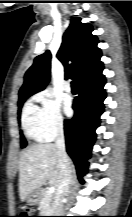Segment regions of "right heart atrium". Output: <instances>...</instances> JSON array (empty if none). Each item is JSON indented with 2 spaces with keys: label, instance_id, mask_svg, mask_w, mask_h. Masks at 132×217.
Instances as JSON below:
<instances>
[{
  "label": "right heart atrium",
  "instance_id": "d8ad5b80",
  "mask_svg": "<svg viewBox=\"0 0 132 217\" xmlns=\"http://www.w3.org/2000/svg\"><path fill=\"white\" fill-rule=\"evenodd\" d=\"M39 103L40 134L43 140H51L60 134L64 127V118L60 103L47 91L34 96Z\"/></svg>",
  "mask_w": 132,
  "mask_h": 217
}]
</instances>
